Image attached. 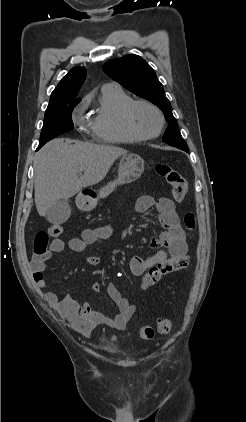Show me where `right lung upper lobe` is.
<instances>
[{
	"mask_svg": "<svg viewBox=\"0 0 246 422\" xmlns=\"http://www.w3.org/2000/svg\"><path fill=\"white\" fill-rule=\"evenodd\" d=\"M85 77L86 70L84 67L72 68L53 90L48 107L67 102H80L81 99L76 96L85 80Z\"/></svg>",
	"mask_w": 246,
	"mask_h": 422,
	"instance_id": "obj_1",
	"label": "right lung upper lobe"
}]
</instances>
